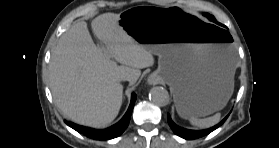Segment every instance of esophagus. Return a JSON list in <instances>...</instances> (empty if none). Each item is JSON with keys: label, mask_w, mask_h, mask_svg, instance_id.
Listing matches in <instances>:
<instances>
[{"label": "esophagus", "mask_w": 279, "mask_h": 148, "mask_svg": "<svg viewBox=\"0 0 279 148\" xmlns=\"http://www.w3.org/2000/svg\"><path fill=\"white\" fill-rule=\"evenodd\" d=\"M148 83H149L150 85H155V84H158V80H157L155 77L150 76V77L148 78Z\"/></svg>", "instance_id": "obj_1"}]
</instances>
